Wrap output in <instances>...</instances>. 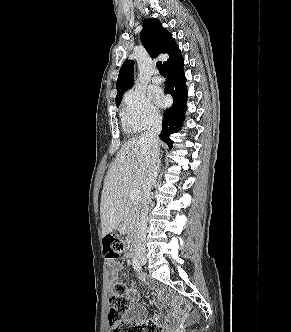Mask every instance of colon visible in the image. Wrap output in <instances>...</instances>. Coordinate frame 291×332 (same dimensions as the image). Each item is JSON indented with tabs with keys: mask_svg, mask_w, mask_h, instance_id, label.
I'll return each mask as SVG.
<instances>
[{
	"mask_svg": "<svg viewBox=\"0 0 291 332\" xmlns=\"http://www.w3.org/2000/svg\"><path fill=\"white\" fill-rule=\"evenodd\" d=\"M106 258L116 260L125 250V240L118 234H107L103 238ZM130 307L127 288L122 283H116L109 298L110 332H160L158 324L153 320L132 322L125 318Z\"/></svg>",
	"mask_w": 291,
	"mask_h": 332,
	"instance_id": "1",
	"label": "colon"
}]
</instances>
